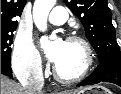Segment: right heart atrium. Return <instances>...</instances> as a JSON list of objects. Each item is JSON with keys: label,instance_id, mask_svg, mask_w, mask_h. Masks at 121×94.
I'll return each mask as SVG.
<instances>
[{"label": "right heart atrium", "instance_id": "1", "mask_svg": "<svg viewBox=\"0 0 121 94\" xmlns=\"http://www.w3.org/2000/svg\"><path fill=\"white\" fill-rule=\"evenodd\" d=\"M12 68L19 78H39L42 74L43 62L32 38L20 36L15 41L12 54Z\"/></svg>", "mask_w": 121, "mask_h": 94}]
</instances>
